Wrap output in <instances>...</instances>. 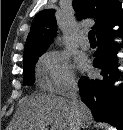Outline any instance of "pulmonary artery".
Listing matches in <instances>:
<instances>
[{"label":"pulmonary artery","instance_id":"obj_1","mask_svg":"<svg viewBox=\"0 0 123 130\" xmlns=\"http://www.w3.org/2000/svg\"><path fill=\"white\" fill-rule=\"evenodd\" d=\"M79 45L83 49H88L90 47V42L85 33L81 35V37L79 39Z\"/></svg>","mask_w":123,"mask_h":130}]
</instances>
